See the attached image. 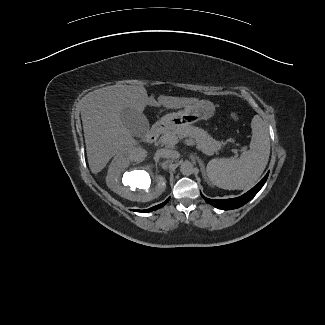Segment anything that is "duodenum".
I'll return each instance as SVG.
<instances>
[{"label":"duodenum","mask_w":325,"mask_h":325,"mask_svg":"<svg viewBox=\"0 0 325 325\" xmlns=\"http://www.w3.org/2000/svg\"><path fill=\"white\" fill-rule=\"evenodd\" d=\"M163 131V126L161 124H157L155 125L148 133L147 137H146V141L148 143H153L155 142L159 136L161 135Z\"/></svg>","instance_id":"obj_1"}]
</instances>
